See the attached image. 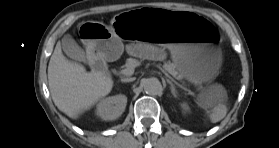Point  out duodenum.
<instances>
[{"mask_svg":"<svg viewBox=\"0 0 279 148\" xmlns=\"http://www.w3.org/2000/svg\"><path fill=\"white\" fill-rule=\"evenodd\" d=\"M91 67L95 71H99V72H106L108 70L107 64L100 57H94L91 59Z\"/></svg>","mask_w":279,"mask_h":148,"instance_id":"duodenum-1","label":"duodenum"}]
</instances>
